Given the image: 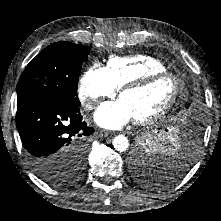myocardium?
Instances as JSON below:
<instances>
[{
	"instance_id": "obj_1",
	"label": "myocardium",
	"mask_w": 221,
	"mask_h": 221,
	"mask_svg": "<svg viewBox=\"0 0 221 221\" xmlns=\"http://www.w3.org/2000/svg\"><path fill=\"white\" fill-rule=\"evenodd\" d=\"M165 77L171 78L175 84V89H174L171 99L164 106L163 109H161L160 111H158L154 115L149 116V117H145V118L134 119L135 124H137V125H151V124L158 122L162 118H164L171 111V109L175 106V104L178 100V97H179L180 92L183 87L182 81L177 75H175L172 72L161 71V72H155V73L145 75L138 80L128 82L120 87L119 97H121V95L127 91H134V90L142 89V88L150 85L152 82L159 80L161 78H165Z\"/></svg>"
}]
</instances>
